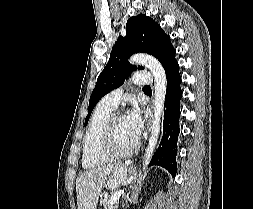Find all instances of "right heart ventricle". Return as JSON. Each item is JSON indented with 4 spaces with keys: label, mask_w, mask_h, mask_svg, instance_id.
<instances>
[{
    "label": "right heart ventricle",
    "mask_w": 253,
    "mask_h": 209,
    "mask_svg": "<svg viewBox=\"0 0 253 209\" xmlns=\"http://www.w3.org/2000/svg\"><path fill=\"white\" fill-rule=\"evenodd\" d=\"M113 112L114 108L102 101L93 112L83 139L82 165L86 169L100 167L109 160L99 153L98 147L102 129Z\"/></svg>",
    "instance_id": "obj_1"
}]
</instances>
